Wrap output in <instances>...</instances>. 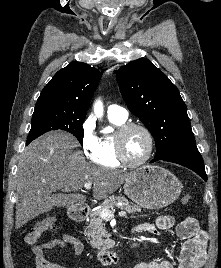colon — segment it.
Instances as JSON below:
<instances>
[{
	"instance_id": "obj_1",
	"label": "colon",
	"mask_w": 221,
	"mask_h": 268,
	"mask_svg": "<svg viewBox=\"0 0 221 268\" xmlns=\"http://www.w3.org/2000/svg\"><path fill=\"white\" fill-rule=\"evenodd\" d=\"M192 200L190 195H185L182 197L181 202L182 204H188ZM56 225V218L54 216H49L44 218L43 220L36 223L26 234L24 240L29 245H35L42 235L50 230L53 229Z\"/></svg>"
}]
</instances>
